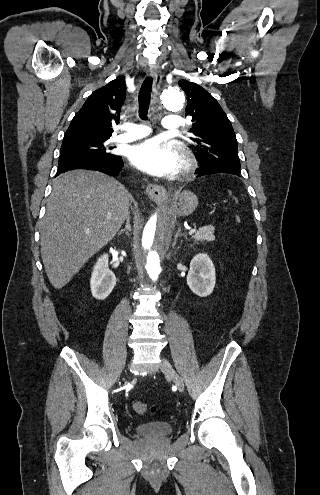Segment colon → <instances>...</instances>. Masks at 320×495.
<instances>
[{
    "instance_id": "colon-1",
    "label": "colon",
    "mask_w": 320,
    "mask_h": 495,
    "mask_svg": "<svg viewBox=\"0 0 320 495\" xmlns=\"http://www.w3.org/2000/svg\"><path fill=\"white\" fill-rule=\"evenodd\" d=\"M133 409L137 414H145L147 412L155 413L156 409L154 406L147 405L144 402L136 401L133 403Z\"/></svg>"
}]
</instances>
